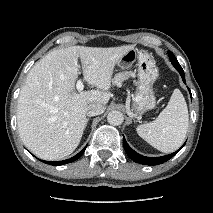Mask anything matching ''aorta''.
I'll return each instance as SVG.
<instances>
[{"mask_svg": "<svg viewBox=\"0 0 213 213\" xmlns=\"http://www.w3.org/2000/svg\"><path fill=\"white\" fill-rule=\"evenodd\" d=\"M107 121L109 124L117 126L123 123L124 115L120 111H111L107 115Z\"/></svg>", "mask_w": 213, "mask_h": 213, "instance_id": "obj_1", "label": "aorta"}]
</instances>
